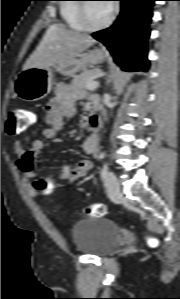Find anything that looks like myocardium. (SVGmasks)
I'll return each mask as SVG.
<instances>
[{
  "label": "myocardium",
  "mask_w": 180,
  "mask_h": 299,
  "mask_svg": "<svg viewBox=\"0 0 180 299\" xmlns=\"http://www.w3.org/2000/svg\"><path fill=\"white\" fill-rule=\"evenodd\" d=\"M82 1H86V0H82ZM86 9H87V3L81 2L78 6V18H79V21H80L84 31L97 32V31L103 30V29L107 28L114 20L115 13L112 8L110 11L109 17L104 22H102L99 25H91L88 22Z\"/></svg>",
  "instance_id": "obj_1"
}]
</instances>
